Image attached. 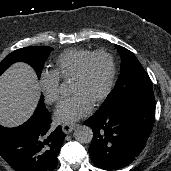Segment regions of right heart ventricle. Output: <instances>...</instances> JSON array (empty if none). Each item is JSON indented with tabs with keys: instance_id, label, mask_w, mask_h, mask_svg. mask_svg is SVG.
Listing matches in <instances>:
<instances>
[{
	"instance_id": "right-heart-ventricle-1",
	"label": "right heart ventricle",
	"mask_w": 171,
	"mask_h": 171,
	"mask_svg": "<svg viewBox=\"0 0 171 171\" xmlns=\"http://www.w3.org/2000/svg\"><path fill=\"white\" fill-rule=\"evenodd\" d=\"M91 53V51L85 49L66 50L55 60L53 72L61 80L71 79L83 60Z\"/></svg>"
}]
</instances>
